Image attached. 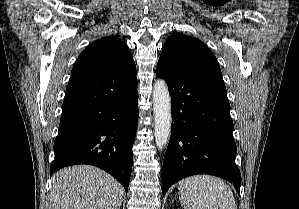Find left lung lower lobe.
I'll list each match as a JSON object with an SVG mask.
<instances>
[{
  "instance_id": "0a47b994",
  "label": "left lung lower lobe",
  "mask_w": 299,
  "mask_h": 209,
  "mask_svg": "<svg viewBox=\"0 0 299 209\" xmlns=\"http://www.w3.org/2000/svg\"><path fill=\"white\" fill-rule=\"evenodd\" d=\"M172 98L171 138L163 161V195L182 178L209 174L233 183L240 192L235 164L230 104L222 77L181 74L156 68Z\"/></svg>"
}]
</instances>
